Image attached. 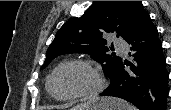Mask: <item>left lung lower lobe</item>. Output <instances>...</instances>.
I'll use <instances>...</instances> for the list:
<instances>
[{
    "mask_svg": "<svg viewBox=\"0 0 171 110\" xmlns=\"http://www.w3.org/2000/svg\"><path fill=\"white\" fill-rule=\"evenodd\" d=\"M134 63L120 62L110 78L109 87L101 94L125 99L140 110H166L168 71L162 43L150 16L138 32L127 41ZM130 66L125 70L124 66Z\"/></svg>",
    "mask_w": 171,
    "mask_h": 110,
    "instance_id": "1",
    "label": "left lung lower lobe"
}]
</instances>
